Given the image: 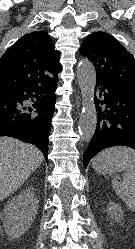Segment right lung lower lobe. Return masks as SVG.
Instances as JSON below:
<instances>
[{"label": "right lung lower lobe", "instance_id": "1", "mask_svg": "<svg viewBox=\"0 0 135 249\" xmlns=\"http://www.w3.org/2000/svg\"><path fill=\"white\" fill-rule=\"evenodd\" d=\"M56 88L57 79L39 85L0 89V136L36 145L47 160ZM26 101H32L35 110L26 106Z\"/></svg>", "mask_w": 135, "mask_h": 249}]
</instances>
